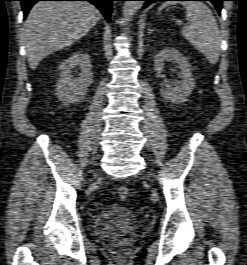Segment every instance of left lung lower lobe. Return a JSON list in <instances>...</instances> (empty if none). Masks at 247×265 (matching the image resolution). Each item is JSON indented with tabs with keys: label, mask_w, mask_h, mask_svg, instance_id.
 <instances>
[{
	"label": "left lung lower lobe",
	"mask_w": 247,
	"mask_h": 265,
	"mask_svg": "<svg viewBox=\"0 0 247 265\" xmlns=\"http://www.w3.org/2000/svg\"><path fill=\"white\" fill-rule=\"evenodd\" d=\"M140 1H145L143 8H146L147 6H149L150 4H152L156 1H173V0H140ZM178 1H184V0H178ZM199 1H210V2H212L214 4V6L216 7L218 13L220 14L221 9H222V2L226 1V0H199Z\"/></svg>",
	"instance_id": "1"
}]
</instances>
